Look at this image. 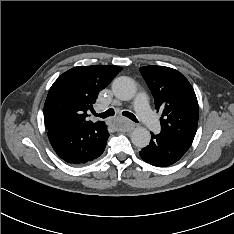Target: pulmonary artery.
<instances>
[{
	"label": "pulmonary artery",
	"instance_id": "obj_1",
	"mask_svg": "<svg viewBox=\"0 0 234 234\" xmlns=\"http://www.w3.org/2000/svg\"><path fill=\"white\" fill-rule=\"evenodd\" d=\"M135 108L148 130H155L159 127V122L151 112L147 102V96L140 93L135 101Z\"/></svg>",
	"mask_w": 234,
	"mask_h": 234
}]
</instances>
